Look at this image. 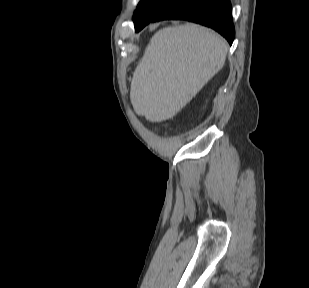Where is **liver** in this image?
<instances>
[{
	"mask_svg": "<svg viewBox=\"0 0 309 288\" xmlns=\"http://www.w3.org/2000/svg\"><path fill=\"white\" fill-rule=\"evenodd\" d=\"M227 52L220 35L194 23L159 30L133 73L134 111L150 122L173 118L220 71Z\"/></svg>",
	"mask_w": 309,
	"mask_h": 288,
	"instance_id": "liver-1",
	"label": "liver"
}]
</instances>
